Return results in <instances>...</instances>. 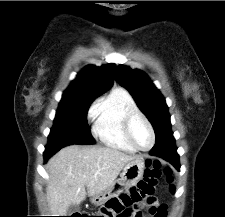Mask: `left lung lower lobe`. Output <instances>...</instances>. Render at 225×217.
<instances>
[{
  "mask_svg": "<svg viewBox=\"0 0 225 217\" xmlns=\"http://www.w3.org/2000/svg\"><path fill=\"white\" fill-rule=\"evenodd\" d=\"M177 150V149H176ZM176 150L169 151V152H156V153H151L150 155L158 156L163 158L164 160L170 162L176 169H180L179 165V155L177 154Z\"/></svg>",
  "mask_w": 225,
  "mask_h": 217,
  "instance_id": "1",
  "label": "left lung lower lobe"
}]
</instances>
